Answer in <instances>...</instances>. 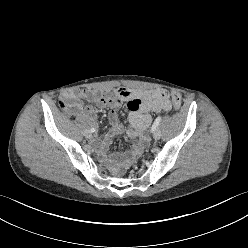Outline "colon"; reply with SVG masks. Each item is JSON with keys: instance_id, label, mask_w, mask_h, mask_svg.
<instances>
[{"instance_id": "colon-1", "label": "colon", "mask_w": 248, "mask_h": 248, "mask_svg": "<svg viewBox=\"0 0 248 248\" xmlns=\"http://www.w3.org/2000/svg\"><path fill=\"white\" fill-rule=\"evenodd\" d=\"M164 95H165L167 98L170 99V101H171V103H172V105H173V108H174L175 110H179V108L181 107V103H182V101H181V96H180L178 93H176V92L165 91V90H164ZM60 105H61L62 107H65V106H66V104H65L62 100L60 101Z\"/></svg>"}]
</instances>
